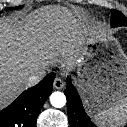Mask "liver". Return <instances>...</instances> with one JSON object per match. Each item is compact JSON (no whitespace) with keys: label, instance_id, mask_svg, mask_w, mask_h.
<instances>
[{"label":"liver","instance_id":"liver-1","mask_svg":"<svg viewBox=\"0 0 127 127\" xmlns=\"http://www.w3.org/2000/svg\"><path fill=\"white\" fill-rule=\"evenodd\" d=\"M86 35L76 11L43 7L21 21L0 20V109L28 88L30 75L56 63L72 70Z\"/></svg>","mask_w":127,"mask_h":127}]
</instances>
